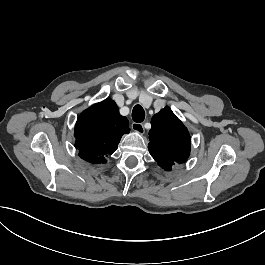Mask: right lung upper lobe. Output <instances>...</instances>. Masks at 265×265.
Instances as JSON below:
<instances>
[{"label": "right lung upper lobe", "mask_w": 265, "mask_h": 265, "mask_svg": "<svg viewBox=\"0 0 265 265\" xmlns=\"http://www.w3.org/2000/svg\"><path fill=\"white\" fill-rule=\"evenodd\" d=\"M129 132L127 118L119 114L116 103L108 98L80 114L75 125V147L83 160L103 164L116 151L123 134Z\"/></svg>", "instance_id": "obj_1"}]
</instances>
